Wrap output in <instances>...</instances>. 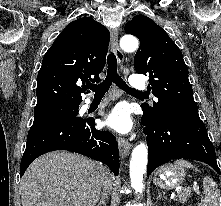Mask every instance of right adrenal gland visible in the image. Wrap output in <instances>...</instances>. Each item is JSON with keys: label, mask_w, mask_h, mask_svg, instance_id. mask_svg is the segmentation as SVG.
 <instances>
[{"label": "right adrenal gland", "mask_w": 221, "mask_h": 206, "mask_svg": "<svg viewBox=\"0 0 221 206\" xmlns=\"http://www.w3.org/2000/svg\"><path fill=\"white\" fill-rule=\"evenodd\" d=\"M108 201V196L107 194L102 193L101 194V200L99 201V203L97 204V206H106V202Z\"/></svg>", "instance_id": "2a0ac1e0"}]
</instances>
